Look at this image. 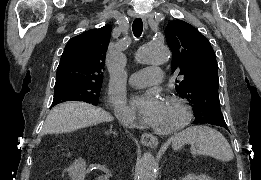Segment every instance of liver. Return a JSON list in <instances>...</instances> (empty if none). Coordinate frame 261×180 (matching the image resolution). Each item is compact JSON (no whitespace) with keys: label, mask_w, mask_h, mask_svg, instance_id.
I'll use <instances>...</instances> for the list:
<instances>
[{"label":"liver","mask_w":261,"mask_h":180,"mask_svg":"<svg viewBox=\"0 0 261 180\" xmlns=\"http://www.w3.org/2000/svg\"><path fill=\"white\" fill-rule=\"evenodd\" d=\"M50 116V118H49ZM45 122L46 134H64V132H75L87 126H96L101 122H111L105 110L84 104V102H66L53 108Z\"/></svg>","instance_id":"liver-1"}]
</instances>
